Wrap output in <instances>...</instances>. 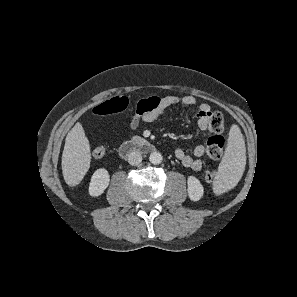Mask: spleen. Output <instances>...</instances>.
<instances>
[{"instance_id": "1", "label": "spleen", "mask_w": 297, "mask_h": 297, "mask_svg": "<svg viewBox=\"0 0 297 297\" xmlns=\"http://www.w3.org/2000/svg\"><path fill=\"white\" fill-rule=\"evenodd\" d=\"M246 164L243 135L237 125H232L224 157L218 169L219 184L225 189L234 187L240 180Z\"/></svg>"}]
</instances>
